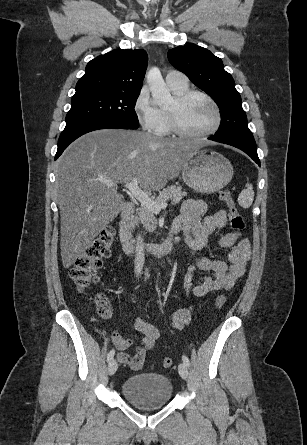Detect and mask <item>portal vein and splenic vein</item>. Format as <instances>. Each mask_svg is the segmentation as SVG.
<instances>
[{"label":"portal vein and splenic vein","mask_w":307,"mask_h":445,"mask_svg":"<svg viewBox=\"0 0 307 445\" xmlns=\"http://www.w3.org/2000/svg\"><path fill=\"white\" fill-rule=\"evenodd\" d=\"M97 180H101V178H97ZM101 182H106V184L114 186V182H110V180H101ZM123 186L128 188L131 194H133V196H135V198H137L141 204L148 206V208H151V210H154V212H160L161 208H166L167 206V202H156V200L150 198L149 194L143 192V190H141V188L138 186V178H133L131 182H125Z\"/></svg>","instance_id":"portal-vein-and-splenic-vein-1"}]
</instances>
